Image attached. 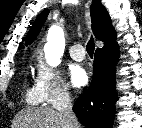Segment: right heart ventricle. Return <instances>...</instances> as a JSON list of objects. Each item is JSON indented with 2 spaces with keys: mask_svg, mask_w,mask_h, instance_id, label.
I'll list each match as a JSON object with an SVG mask.
<instances>
[{
  "mask_svg": "<svg viewBox=\"0 0 142 128\" xmlns=\"http://www.w3.org/2000/svg\"><path fill=\"white\" fill-rule=\"evenodd\" d=\"M26 100L30 104H38L40 102L35 87H28L26 89Z\"/></svg>",
  "mask_w": 142,
  "mask_h": 128,
  "instance_id": "obj_1",
  "label": "right heart ventricle"
}]
</instances>
